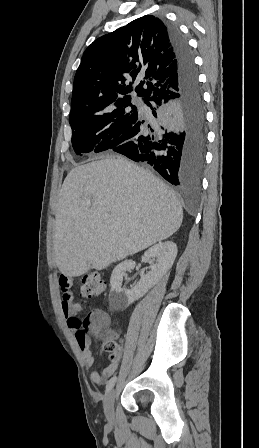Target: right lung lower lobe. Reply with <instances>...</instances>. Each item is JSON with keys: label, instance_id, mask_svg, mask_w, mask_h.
I'll use <instances>...</instances> for the list:
<instances>
[{"label": "right lung lower lobe", "instance_id": "98d812e1", "mask_svg": "<svg viewBox=\"0 0 259 448\" xmlns=\"http://www.w3.org/2000/svg\"><path fill=\"white\" fill-rule=\"evenodd\" d=\"M175 55L178 85L144 102L150 115H139L111 150L151 165L178 187H197L204 169L206 118L193 55L177 27L164 22Z\"/></svg>", "mask_w": 259, "mask_h": 448}]
</instances>
